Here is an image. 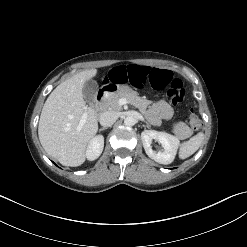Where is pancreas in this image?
<instances>
[{
    "instance_id": "1",
    "label": "pancreas",
    "mask_w": 247,
    "mask_h": 247,
    "mask_svg": "<svg viewBox=\"0 0 247 247\" xmlns=\"http://www.w3.org/2000/svg\"><path fill=\"white\" fill-rule=\"evenodd\" d=\"M120 99H126L129 103L136 106L145 117H148L146 109L151 104V101L139 97L136 92L127 93L119 91L106 96L104 100L108 108L119 111L122 109V106L119 104ZM173 133L180 139H185L192 134V130L188 125L180 121L173 125Z\"/></svg>"
}]
</instances>
